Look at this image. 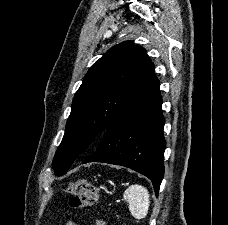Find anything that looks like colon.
<instances>
[{"label": "colon", "mask_w": 228, "mask_h": 225, "mask_svg": "<svg viewBox=\"0 0 228 225\" xmlns=\"http://www.w3.org/2000/svg\"><path fill=\"white\" fill-rule=\"evenodd\" d=\"M66 193L71 196L72 207L76 209L90 210L98 196L96 185L87 179H77L70 182L66 187ZM95 225H105L101 218H95Z\"/></svg>", "instance_id": "obj_1"}]
</instances>
